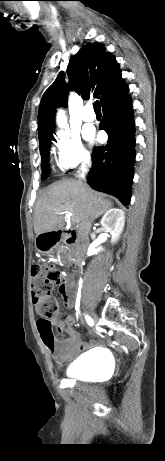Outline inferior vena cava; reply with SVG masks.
Masks as SVG:
<instances>
[{
  "label": "inferior vena cava",
  "mask_w": 165,
  "mask_h": 461,
  "mask_svg": "<svg viewBox=\"0 0 165 461\" xmlns=\"http://www.w3.org/2000/svg\"><path fill=\"white\" fill-rule=\"evenodd\" d=\"M91 166V160L89 157H86L83 161V164H82V168H81V171H82V177L84 178L85 177V173H87V170L88 168Z\"/></svg>",
  "instance_id": "obj_1"
}]
</instances>
